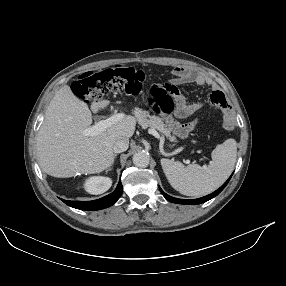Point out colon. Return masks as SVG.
I'll return each instance as SVG.
<instances>
[{
  "label": "colon",
  "mask_w": 286,
  "mask_h": 286,
  "mask_svg": "<svg viewBox=\"0 0 286 286\" xmlns=\"http://www.w3.org/2000/svg\"><path fill=\"white\" fill-rule=\"evenodd\" d=\"M144 80L142 71L133 67L117 66L79 75L74 81L73 90L76 96L84 101H97L117 93L137 95L143 88ZM175 92L171 85L154 84L150 87L149 100L161 111L160 117L167 129L178 137L190 138L199 121L194 120L189 125H184L176 119L172 112Z\"/></svg>",
  "instance_id": "1"
}]
</instances>
